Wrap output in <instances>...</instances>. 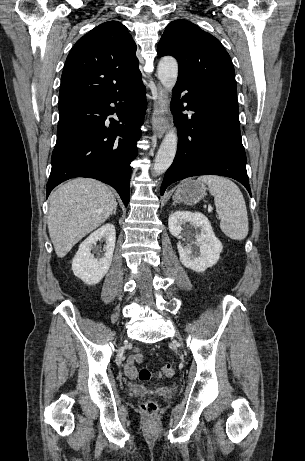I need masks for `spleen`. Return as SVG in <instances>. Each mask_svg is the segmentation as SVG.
Segmentation results:
<instances>
[{
	"instance_id": "3e777b00",
	"label": "spleen",
	"mask_w": 305,
	"mask_h": 461,
	"mask_svg": "<svg viewBox=\"0 0 305 461\" xmlns=\"http://www.w3.org/2000/svg\"><path fill=\"white\" fill-rule=\"evenodd\" d=\"M196 182L207 184L214 196L222 232L233 240L245 239L249 230L248 215L239 187L228 178L216 175L200 176Z\"/></svg>"
}]
</instances>
